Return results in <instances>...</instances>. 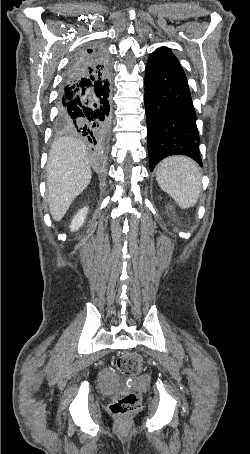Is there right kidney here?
Returning <instances> with one entry per match:
<instances>
[{"instance_id": "ca27d5eb", "label": "right kidney", "mask_w": 250, "mask_h": 454, "mask_svg": "<svg viewBox=\"0 0 250 454\" xmlns=\"http://www.w3.org/2000/svg\"><path fill=\"white\" fill-rule=\"evenodd\" d=\"M87 213H88L87 207H84L83 209L78 211V213L72 219V222L70 225L71 231L78 230L84 224Z\"/></svg>"}]
</instances>
